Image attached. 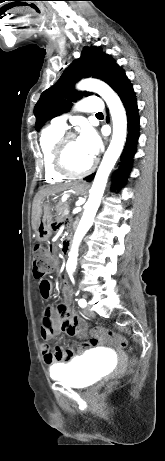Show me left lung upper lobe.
Instances as JSON below:
<instances>
[{
	"instance_id": "1",
	"label": "left lung upper lobe",
	"mask_w": 165,
	"mask_h": 461,
	"mask_svg": "<svg viewBox=\"0 0 165 461\" xmlns=\"http://www.w3.org/2000/svg\"><path fill=\"white\" fill-rule=\"evenodd\" d=\"M121 72L123 69L110 55L103 53L101 48L84 47L81 57L70 64L59 80L41 94L34 108L35 129L39 130L48 119L67 112L72 106V101H76V95L81 98L82 94L74 89V84L80 79L94 77L112 87Z\"/></svg>"
}]
</instances>
